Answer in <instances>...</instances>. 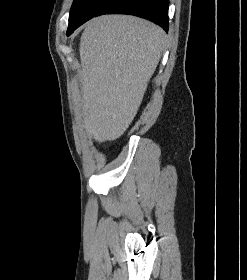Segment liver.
Masks as SVG:
<instances>
[{
	"mask_svg": "<svg viewBox=\"0 0 247 280\" xmlns=\"http://www.w3.org/2000/svg\"><path fill=\"white\" fill-rule=\"evenodd\" d=\"M166 47L159 26L128 15L89 21L80 40L83 114L98 142L127 130Z\"/></svg>",
	"mask_w": 247,
	"mask_h": 280,
	"instance_id": "1",
	"label": "liver"
}]
</instances>
